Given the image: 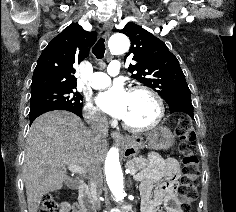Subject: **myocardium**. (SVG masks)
I'll return each instance as SVG.
<instances>
[{"instance_id":"1","label":"myocardium","mask_w":236,"mask_h":212,"mask_svg":"<svg viewBox=\"0 0 236 212\" xmlns=\"http://www.w3.org/2000/svg\"><path fill=\"white\" fill-rule=\"evenodd\" d=\"M134 92H142V93L148 95L154 101V103L157 107L156 117L154 118V120L151 123H149L145 126H141V127L132 126L124 120H122V126L127 131L132 132V133L148 132V131L156 128L160 124V122L162 121L164 114H165L164 103H163L161 97L158 95V93H156L153 89H151L145 85L137 84V85L132 86L129 89V93H134Z\"/></svg>"}]
</instances>
